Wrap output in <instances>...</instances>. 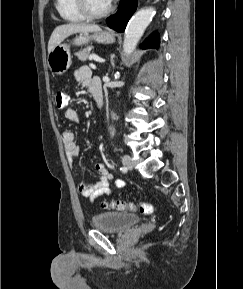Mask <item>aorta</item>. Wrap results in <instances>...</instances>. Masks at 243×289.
<instances>
[{
  "label": "aorta",
  "mask_w": 243,
  "mask_h": 289,
  "mask_svg": "<svg viewBox=\"0 0 243 289\" xmlns=\"http://www.w3.org/2000/svg\"><path fill=\"white\" fill-rule=\"evenodd\" d=\"M155 9L148 7L138 11L129 21L124 36L123 51L125 55H130L136 48L145 29L152 21Z\"/></svg>",
  "instance_id": "aorta-1"
}]
</instances>
